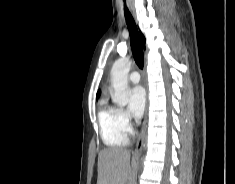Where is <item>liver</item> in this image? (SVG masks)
I'll return each instance as SVG.
<instances>
[{"instance_id":"liver-1","label":"liver","mask_w":235,"mask_h":184,"mask_svg":"<svg viewBox=\"0 0 235 184\" xmlns=\"http://www.w3.org/2000/svg\"><path fill=\"white\" fill-rule=\"evenodd\" d=\"M130 150L126 148H104L98 156L97 184H126L135 166Z\"/></svg>"}]
</instances>
